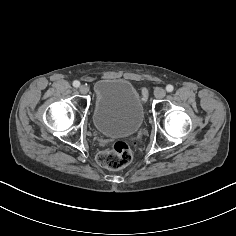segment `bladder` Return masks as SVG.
<instances>
[{
  "label": "bladder",
  "instance_id": "bladder-1",
  "mask_svg": "<svg viewBox=\"0 0 236 236\" xmlns=\"http://www.w3.org/2000/svg\"><path fill=\"white\" fill-rule=\"evenodd\" d=\"M93 123L103 135L131 136L144 123L145 106L135 87L123 79H101L94 85Z\"/></svg>",
  "mask_w": 236,
  "mask_h": 236
}]
</instances>
